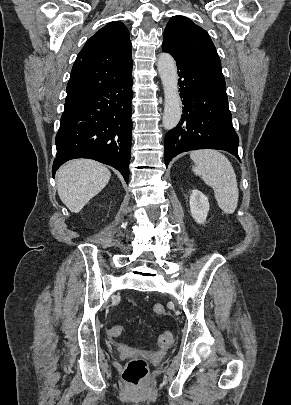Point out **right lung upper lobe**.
<instances>
[{
  "label": "right lung upper lobe",
  "mask_w": 291,
  "mask_h": 405,
  "mask_svg": "<svg viewBox=\"0 0 291 405\" xmlns=\"http://www.w3.org/2000/svg\"><path fill=\"white\" fill-rule=\"evenodd\" d=\"M132 71L129 31L113 21L94 34L79 52L67 85L65 106L91 91L126 78Z\"/></svg>",
  "instance_id": "1"
}]
</instances>
